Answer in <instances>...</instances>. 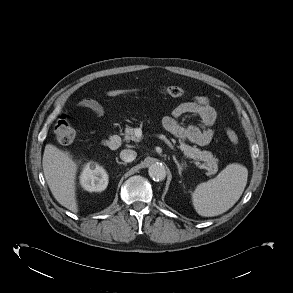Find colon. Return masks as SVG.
<instances>
[{"instance_id":"obj_1","label":"colon","mask_w":293,"mask_h":293,"mask_svg":"<svg viewBox=\"0 0 293 293\" xmlns=\"http://www.w3.org/2000/svg\"><path fill=\"white\" fill-rule=\"evenodd\" d=\"M141 90L139 89H120V90H110L107 92L109 96H123L137 94ZM160 92L171 96V97H180L184 95L185 91L182 87L179 86H166L160 88ZM54 134L57 140L62 144H70L75 138V129L72 126L71 122L67 117L62 116L55 124ZM226 135L233 146H237L239 143V138L237 133L232 128L226 129Z\"/></svg>"}]
</instances>
